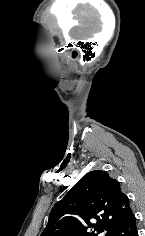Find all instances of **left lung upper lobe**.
I'll return each mask as SVG.
<instances>
[{"label":"left lung upper lobe","mask_w":145,"mask_h":236,"mask_svg":"<svg viewBox=\"0 0 145 236\" xmlns=\"http://www.w3.org/2000/svg\"><path fill=\"white\" fill-rule=\"evenodd\" d=\"M131 212L119 182L107 172L94 170L53 207L41 236H98L105 230L111 236ZM92 218L97 220L95 224Z\"/></svg>","instance_id":"5c2ea615"}]
</instances>
